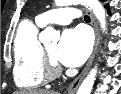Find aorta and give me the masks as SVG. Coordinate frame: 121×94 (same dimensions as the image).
Returning a JSON list of instances; mask_svg holds the SVG:
<instances>
[{"instance_id":"aorta-1","label":"aorta","mask_w":121,"mask_h":94,"mask_svg":"<svg viewBox=\"0 0 121 94\" xmlns=\"http://www.w3.org/2000/svg\"><path fill=\"white\" fill-rule=\"evenodd\" d=\"M75 3H81L93 11L100 22L103 30L106 29L105 9L99 0H55L56 6H68ZM59 39V33L52 27H47L40 35L39 40L43 43L55 42ZM97 68H93L80 85L77 94H90L94 85Z\"/></svg>"}]
</instances>
